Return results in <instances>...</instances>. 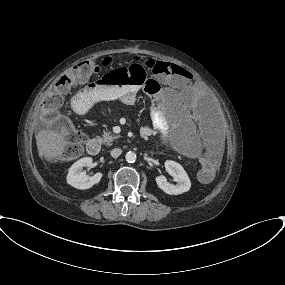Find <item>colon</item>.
<instances>
[{"label": "colon", "instance_id": "obj_1", "mask_svg": "<svg viewBox=\"0 0 285 285\" xmlns=\"http://www.w3.org/2000/svg\"><path fill=\"white\" fill-rule=\"evenodd\" d=\"M107 61L101 66L92 60H85L78 63L67 71L55 84H53L39 103V114L41 118L57 123L66 131L70 142L66 144L63 157L74 159L81 155L83 144L86 141L85 135L77 132L72 125L61 116L64 98L71 87L84 81L93 79L101 68H107ZM146 70L152 72L163 81H169L183 76V69L178 65L156 61H130L124 67L107 71L99 79V84L104 87L123 86L133 83V86H140L151 97L159 95V84L155 80H147ZM216 166L212 163L202 161L199 169V178L202 181L210 180L216 173Z\"/></svg>", "mask_w": 285, "mask_h": 285}]
</instances>
